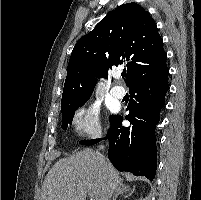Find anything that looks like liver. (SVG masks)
Instances as JSON below:
<instances>
[{
  "label": "liver",
  "mask_w": 201,
  "mask_h": 200,
  "mask_svg": "<svg viewBox=\"0 0 201 200\" xmlns=\"http://www.w3.org/2000/svg\"><path fill=\"white\" fill-rule=\"evenodd\" d=\"M117 171L92 149L78 151L62 158L48 172L41 191V200H110L122 184Z\"/></svg>",
  "instance_id": "6515ba94"
}]
</instances>
